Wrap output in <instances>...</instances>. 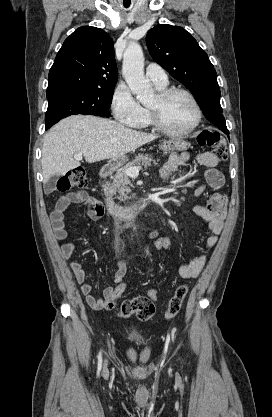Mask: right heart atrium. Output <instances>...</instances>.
<instances>
[{"label": "right heart atrium", "instance_id": "obj_1", "mask_svg": "<svg viewBox=\"0 0 272 417\" xmlns=\"http://www.w3.org/2000/svg\"><path fill=\"white\" fill-rule=\"evenodd\" d=\"M112 113L117 121L127 126L135 125L143 115V108L125 83H119L111 97Z\"/></svg>", "mask_w": 272, "mask_h": 417}]
</instances>
